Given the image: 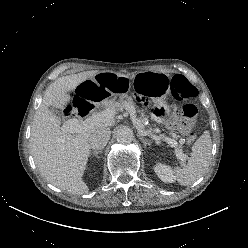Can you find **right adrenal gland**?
Segmentation results:
<instances>
[{
	"label": "right adrenal gland",
	"mask_w": 248,
	"mask_h": 248,
	"mask_svg": "<svg viewBox=\"0 0 248 248\" xmlns=\"http://www.w3.org/2000/svg\"><path fill=\"white\" fill-rule=\"evenodd\" d=\"M102 150H96L91 155L95 156L96 158H99L98 154H100Z\"/></svg>",
	"instance_id": "1"
}]
</instances>
